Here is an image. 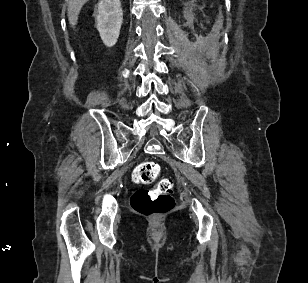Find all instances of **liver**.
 I'll return each mask as SVG.
<instances>
[{
	"mask_svg": "<svg viewBox=\"0 0 308 283\" xmlns=\"http://www.w3.org/2000/svg\"><path fill=\"white\" fill-rule=\"evenodd\" d=\"M68 19L72 26H75L78 20V15L80 13L83 5L88 2V0H68Z\"/></svg>",
	"mask_w": 308,
	"mask_h": 283,
	"instance_id": "obj_1",
	"label": "liver"
}]
</instances>
